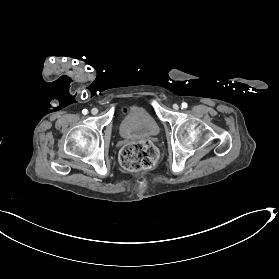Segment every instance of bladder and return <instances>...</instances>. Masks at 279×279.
<instances>
[{
    "mask_svg": "<svg viewBox=\"0 0 279 279\" xmlns=\"http://www.w3.org/2000/svg\"><path fill=\"white\" fill-rule=\"evenodd\" d=\"M129 115L122 121L123 131H119L121 136L126 139H151L158 135L160 124H156L153 115L147 110L139 107H132Z\"/></svg>",
    "mask_w": 279,
    "mask_h": 279,
    "instance_id": "1",
    "label": "bladder"
}]
</instances>
